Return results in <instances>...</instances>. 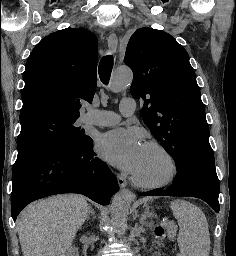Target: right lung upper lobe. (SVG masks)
<instances>
[{"label":"right lung upper lobe","instance_id":"right-lung-upper-lobe-1","mask_svg":"<svg viewBox=\"0 0 236 256\" xmlns=\"http://www.w3.org/2000/svg\"><path fill=\"white\" fill-rule=\"evenodd\" d=\"M96 67L93 33L66 28L43 38L25 66L20 118L43 111L79 118L81 102L93 100Z\"/></svg>","mask_w":236,"mask_h":256}]
</instances>
